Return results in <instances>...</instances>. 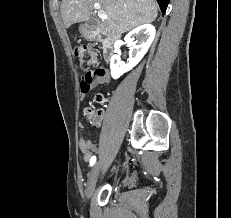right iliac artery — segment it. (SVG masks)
Instances as JSON below:
<instances>
[{
    "label": "right iliac artery",
    "mask_w": 231,
    "mask_h": 218,
    "mask_svg": "<svg viewBox=\"0 0 231 218\" xmlns=\"http://www.w3.org/2000/svg\"><path fill=\"white\" fill-rule=\"evenodd\" d=\"M95 162H96V156H93V157L90 159V166H93Z\"/></svg>",
    "instance_id": "obj_1"
}]
</instances>
